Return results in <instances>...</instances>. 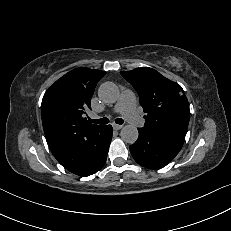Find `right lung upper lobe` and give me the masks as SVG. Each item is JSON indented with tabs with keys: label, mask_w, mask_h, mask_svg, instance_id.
Listing matches in <instances>:
<instances>
[{
	"label": "right lung upper lobe",
	"mask_w": 231,
	"mask_h": 231,
	"mask_svg": "<svg viewBox=\"0 0 231 231\" xmlns=\"http://www.w3.org/2000/svg\"><path fill=\"white\" fill-rule=\"evenodd\" d=\"M104 71L77 68L58 79L42 100L44 133L54 157L71 151L77 136L98 127L83 117Z\"/></svg>",
	"instance_id": "obj_1"
}]
</instances>
